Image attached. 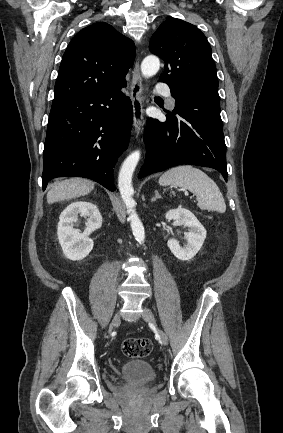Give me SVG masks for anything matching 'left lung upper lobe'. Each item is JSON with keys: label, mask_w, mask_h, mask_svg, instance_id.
<instances>
[{"label": "left lung upper lobe", "mask_w": 283, "mask_h": 433, "mask_svg": "<svg viewBox=\"0 0 283 433\" xmlns=\"http://www.w3.org/2000/svg\"><path fill=\"white\" fill-rule=\"evenodd\" d=\"M150 51L165 62L159 81L176 100L172 114L207 119L222 127L216 66L205 35L176 18L165 20L152 35Z\"/></svg>", "instance_id": "left-lung-upper-lobe-1"}]
</instances>
